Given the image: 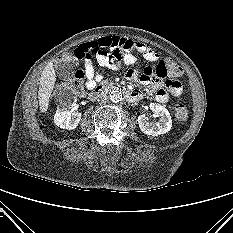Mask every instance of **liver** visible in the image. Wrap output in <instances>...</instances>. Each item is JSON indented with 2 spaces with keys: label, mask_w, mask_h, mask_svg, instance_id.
Segmentation results:
<instances>
[{
  "label": "liver",
  "mask_w": 233,
  "mask_h": 233,
  "mask_svg": "<svg viewBox=\"0 0 233 233\" xmlns=\"http://www.w3.org/2000/svg\"><path fill=\"white\" fill-rule=\"evenodd\" d=\"M56 81L53 63L49 62L42 72L38 91L39 106L41 112H46L49 105L51 93Z\"/></svg>",
  "instance_id": "obj_1"
}]
</instances>
